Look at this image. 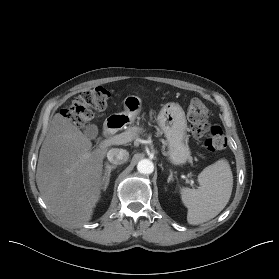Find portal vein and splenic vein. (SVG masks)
<instances>
[{
    "label": "portal vein and splenic vein",
    "instance_id": "obj_1",
    "mask_svg": "<svg viewBox=\"0 0 279 279\" xmlns=\"http://www.w3.org/2000/svg\"><path fill=\"white\" fill-rule=\"evenodd\" d=\"M133 140V137L128 132H123L121 134L115 135L111 138L103 140L99 144V148H105L107 146L113 145V144H125Z\"/></svg>",
    "mask_w": 279,
    "mask_h": 279
}]
</instances>
